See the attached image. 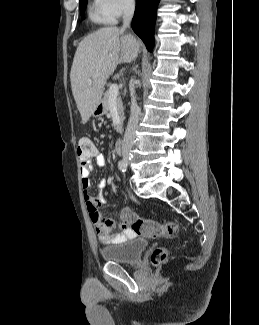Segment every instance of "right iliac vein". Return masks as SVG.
I'll return each instance as SVG.
<instances>
[{
  "label": "right iliac vein",
  "mask_w": 259,
  "mask_h": 325,
  "mask_svg": "<svg viewBox=\"0 0 259 325\" xmlns=\"http://www.w3.org/2000/svg\"><path fill=\"white\" fill-rule=\"evenodd\" d=\"M123 157H124V160H125V161H128V159H129L128 154H124Z\"/></svg>",
  "instance_id": "63e3f726"
}]
</instances>
